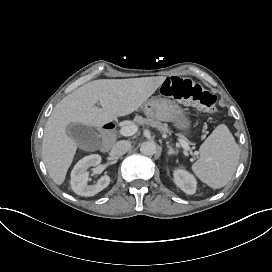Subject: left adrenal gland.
<instances>
[{
    "label": "left adrenal gland",
    "mask_w": 272,
    "mask_h": 272,
    "mask_svg": "<svg viewBox=\"0 0 272 272\" xmlns=\"http://www.w3.org/2000/svg\"><path fill=\"white\" fill-rule=\"evenodd\" d=\"M166 144H167V147L169 148L168 155L178 154V150H174V149L169 145V142H167Z\"/></svg>",
    "instance_id": "obj_1"
}]
</instances>
